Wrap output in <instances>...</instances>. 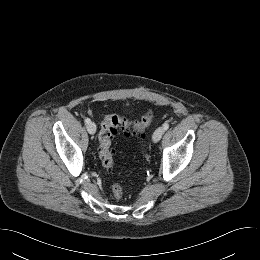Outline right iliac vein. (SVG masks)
I'll use <instances>...</instances> for the list:
<instances>
[{"label": "right iliac vein", "mask_w": 260, "mask_h": 260, "mask_svg": "<svg viewBox=\"0 0 260 260\" xmlns=\"http://www.w3.org/2000/svg\"><path fill=\"white\" fill-rule=\"evenodd\" d=\"M87 130H88V132L90 133V134H95V132H96V125H95V123H93V122H89L88 124H87Z\"/></svg>", "instance_id": "63e3f726"}]
</instances>
